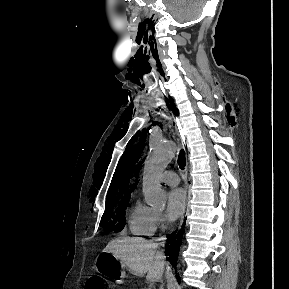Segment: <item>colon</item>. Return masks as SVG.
<instances>
[{
    "label": "colon",
    "mask_w": 289,
    "mask_h": 289,
    "mask_svg": "<svg viewBox=\"0 0 289 289\" xmlns=\"http://www.w3.org/2000/svg\"><path fill=\"white\" fill-rule=\"evenodd\" d=\"M86 289H106V284L102 278L92 277L88 280Z\"/></svg>",
    "instance_id": "obj_1"
}]
</instances>
